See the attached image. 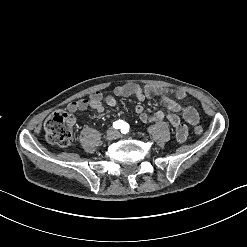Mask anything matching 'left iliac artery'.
I'll use <instances>...</instances> for the list:
<instances>
[{
  "label": "left iliac artery",
  "mask_w": 247,
  "mask_h": 247,
  "mask_svg": "<svg viewBox=\"0 0 247 247\" xmlns=\"http://www.w3.org/2000/svg\"><path fill=\"white\" fill-rule=\"evenodd\" d=\"M129 132V124L126 122H122L121 133L126 134Z\"/></svg>",
  "instance_id": "44dca946"
}]
</instances>
